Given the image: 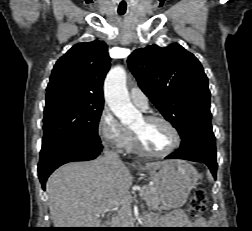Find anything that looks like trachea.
Listing matches in <instances>:
<instances>
[{
    "label": "trachea",
    "mask_w": 252,
    "mask_h": 231,
    "mask_svg": "<svg viewBox=\"0 0 252 231\" xmlns=\"http://www.w3.org/2000/svg\"><path fill=\"white\" fill-rule=\"evenodd\" d=\"M119 15H124V12H119Z\"/></svg>",
    "instance_id": "1"
}]
</instances>
